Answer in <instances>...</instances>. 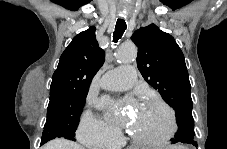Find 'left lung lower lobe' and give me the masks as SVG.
<instances>
[{
  "instance_id": "1",
  "label": "left lung lower lobe",
  "mask_w": 227,
  "mask_h": 149,
  "mask_svg": "<svg viewBox=\"0 0 227 149\" xmlns=\"http://www.w3.org/2000/svg\"><path fill=\"white\" fill-rule=\"evenodd\" d=\"M171 142L174 143H187V144H192L194 146H198L197 142L195 141L194 135L190 136H175L174 138L171 139Z\"/></svg>"
}]
</instances>
